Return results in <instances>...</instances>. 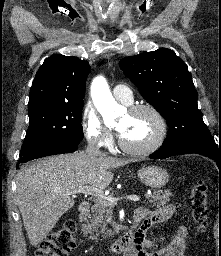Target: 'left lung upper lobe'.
<instances>
[{"mask_svg":"<svg viewBox=\"0 0 221 256\" xmlns=\"http://www.w3.org/2000/svg\"><path fill=\"white\" fill-rule=\"evenodd\" d=\"M124 74L143 98L166 119L169 126L163 144L211 135L197 107L198 94L183 60L167 48L120 60Z\"/></svg>","mask_w":221,"mask_h":256,"instance_id":"obj_1","label":"left lung upper lobe"}]
</instances>
